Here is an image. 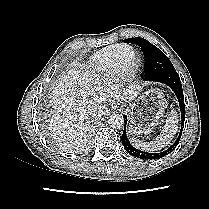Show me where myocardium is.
<instances>
[{
	"instance_id": "f54148a6",
	"label": "myocardium",
	"mask_w": 209,
	"mask_h": 209,
	"mask_svg": "<svg viewBox=\"0 0 209 209\" xmlns=\"http://www.w3.org/2000/svg\"><path fill=\"white\" fill-rule=\"evenodd\" d=\"M125 50H132L134 53H136L135 49L132 46L121 45V47L114 54L111 66V74L121 78L128 76L133 69V66L131 64L126 66L121 65L120 57Z\"/></svg>"
}]
</instances>
